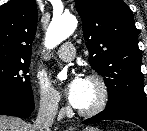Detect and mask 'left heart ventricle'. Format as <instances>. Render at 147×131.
Wrapping results in <instances>:
<instances>
[{"label": "left heart ventricle", "instance_id": "b2bd125f", "mask_svg": "<svg viewBox=\"0 0 147 131\" xmlns=\"http://www.w3.org/2000/svg\"><path fill=\"white\" fill-rule=\"evenodd\" d=\"M98 99V91L96 87L89 81H87L86 92L80 105V109H87L92 107Z\"/></svg>", "mask_w": 147, "mask_h": 131}]
</instances>
